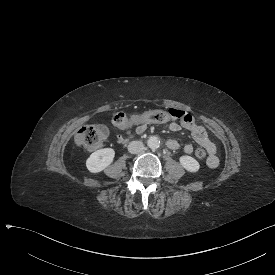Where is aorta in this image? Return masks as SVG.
<instances>
[{"label":"aorta","mask_w":275,"mask_h":275,"mask_svg":"<svg viewBox=\"0 0 275 275\" xmlns=\"http://www.w3.org/2000/svg\"><path fill=\"white\" fill-rule=\"evenodd\" d=\"M160 145V141L156 136H151L147 140V146L151 149H157Z\"/></svg>","instance_id":"aorta-1"}]
</instances>
